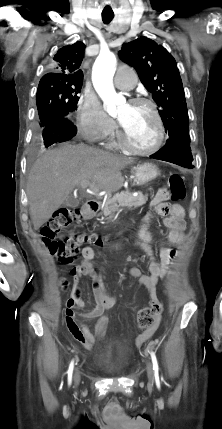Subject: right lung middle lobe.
I'll return each mask as SVG.
<instances>
[{"instance_id":"dd1d6c3e","label":"right lung middle lobe","mask_w":222,"mask_h":429,"mask_svg":"<svg viewBox=\"0 0 222 429\" xmlns=\"http://www.w3.org/2000/svg\"><path fill=\"white\" fill-rule=\"evenodd\" d=\"M81 87V82L40 81L36 94L40 126L44 128L56 119L70 117L76 110Z\"/></svg>"}]
</instances>
